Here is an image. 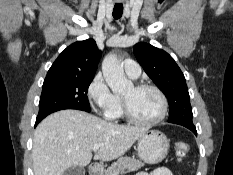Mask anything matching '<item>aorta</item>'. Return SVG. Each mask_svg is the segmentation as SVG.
<instances>
[{
  "label": "aorta",
  "instance_id": "obj_1",
  "mask_svg": "<svg viewBox=\"0 0 233 175\" xmlns=\"http://www.w3.org/2000/svg\"><path fill=\"white\" fill-rule=\"evenodd\" d=\"M103 76L106 83L114 93L124 92L132 87V82L125 77L123 66L117 55L110 53L105 56L102 63Z\"/></svg>",
  "mask_w": 233,
  "mask_h": 175
}]
</instances>
